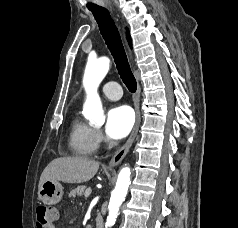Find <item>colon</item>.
<instances>
[{"label": "colon", "mask_w": 238, "mask_h": 228, "mask_svg": "<svg viewBox=\"0 0 238 228\" xmlns=\"http://www.w3.org/2000/svg\"><path fill=\"white\" fill-rule=\"evenodd\" d=\"M57 219V210L52 206L41 205L36 210V225L38 228H51Z\"/></svg>", "instance_id": "colon-1"}]
</instances>
